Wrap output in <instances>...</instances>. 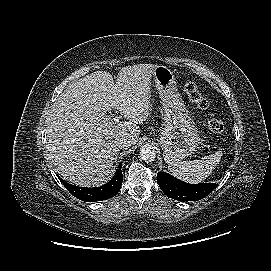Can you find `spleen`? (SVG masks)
Returning a JSON list of instances; mask_svg holds the SVG:
<instances>
[{
    "instance_id": "spleen-1",
    "label": "spleen",
    "mask_w": 271,
    "mask_h": 271,
    "mask_svg": "<svg viewBox=\"0 0 271 271\" xmlns=\"http://www.w3.org/2000/svg\"><path fill=\"white\" fill-rule=\"evenodd\" d=\"M222 155V151H217L201 160L171 162L168 168L174 176L187 183H201L212 173Z\"/></svg>"
}]
</instances>
